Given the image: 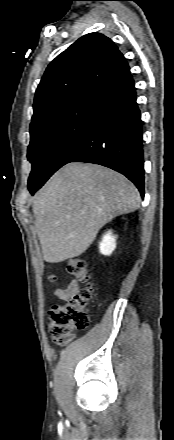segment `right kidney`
<instances>
[{
	"instance_id": "obj_1",
	"label": "right kidney",
	"mask_w": 174,
	"mask_h": 440,
	"mask_svg": "<svg viewBox=\"0 0 174 440\" xmlns=\"http://www.w3.org/2000/svg\"><path fill=\"white\" fill-rule=\"evenodd\" d=\"M116 248V236L112 234V231H108L102 237V241L99 243L100 253L106 256L112 254Z\"/></svg>"
}]
</instances>
